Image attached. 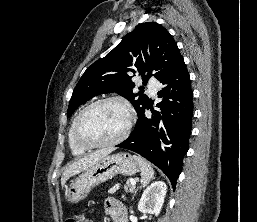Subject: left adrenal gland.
Here are the masks:
<instances>
[{
	"instance_id": "a2214340",
	"label": "left adrenal gland",
	"mask_w": 257,
	"mask_h": 222,
	"mask_svg": "<svg viewBox=\"0 0 257 222\" xmlns=\"http://www.w3.org/2000/svg\"><path fill=\"white\" fill-rule=\"evenodd\" d=\"M138 189H139V188H137V189L135 190V192H134V196H135L136 192L138 191ZM134 196H133V197H134Z\"/></svg>"
}]
</instances>
